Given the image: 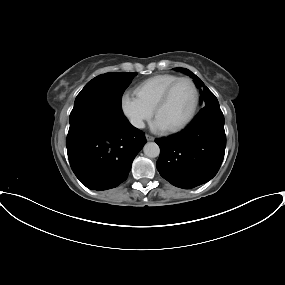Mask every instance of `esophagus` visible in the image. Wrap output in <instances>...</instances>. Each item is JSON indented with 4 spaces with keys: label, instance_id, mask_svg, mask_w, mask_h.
Returning <instances> with one entry per match:
<instances>
[{
    "label": "esophagus",
    "instance_id": "obj_1",
    "mask_svg": "<svg viewBox=\"0 0 285 285\" xmlns=\"http://www.w3.org/2000/svg\"><path fill=\"white\" fill-rule=\"evenodd\" d=\"M146 139L147 141H154L155 138L151 135L146 134Z\"/></svg>",
    "mask_w": 285,
    "mask_h": 285
}]
</instances>
